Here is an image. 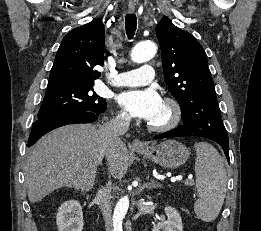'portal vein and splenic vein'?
<instances>
[{"instance_id": "obj_1", "label": "portal vein and splenic vein", "mask_w": 261, "mask_h": 231, "mask_svg": "<svg viewBox=\"0 0 261 231\" xmlns=\"http://www.w3.org/2000/svg\"><path fill=\"white\" fill-rule=\"evenodd\" d=\"M171 182H175V180L172 179ZM185 183L192 185L193 184V180H186Z\"/></svg>"}]
</instances>
